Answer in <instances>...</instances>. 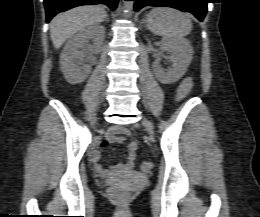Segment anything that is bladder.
<instances>
[{
  "mask_svg": "<svg viewBox=\"0 0 260 217\" xmlns=\"http://www.w3.org/2000/svg\"><path fill=\"white\" fill-rule=\"evenodd\" d=\"M132 177H136V178H139V179H143L144 178L143 175H140V174H137V173H133Z\"/></svg>",
  "mask_w": 260,
  "mask_h": 217,
  "instance_id": "obj_1",
  "label": "bladder"
}]
</instances>
